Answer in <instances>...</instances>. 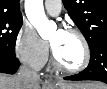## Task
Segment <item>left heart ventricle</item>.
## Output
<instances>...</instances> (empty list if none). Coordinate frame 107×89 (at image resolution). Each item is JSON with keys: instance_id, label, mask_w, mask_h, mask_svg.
I'll list each match as a JSON object with an SVG mask.
<instances>
[{"instance_id": "b2bd125f", "label": "left heart ventricle", "mask_w": 107, "mask_h": 89, "mask_svg": "<svg viewBox=\"0 0 107 89\" xmlns=\"http://www.w3.org/2000/svg\"><path fill=\"white\" fill-rule=\"evenodd\" d=\"M49 41L57 59L67 67H76L83 60V47L80 40L68 32L54 30Z\"/></svg>"}]
</instances>
